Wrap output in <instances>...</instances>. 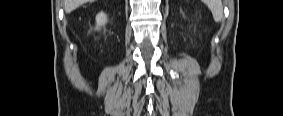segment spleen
<instances>
[{
	"mask_svg": "<svg viewBox=\"0 0 283 116\" xmlns=\"http://www.w3.org/2000/svg\"><path fill=\"white\" fill-rule=\"evenodd\" d=\"M205 4L212 13L215 22L219 23L223 19V6L221 0H206Z\"/></svg>",
	"mask_w": 283,
	"mask_h": 116,
	"instance_id": "3e777b00",
	"label": "spleen"
}]
</instances>
